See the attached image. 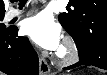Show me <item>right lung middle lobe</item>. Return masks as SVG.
I'll list each match as a JSON object with an SVG mask.
<instances>
[{"label":"right lung middle lobe","instance_id":"obj_1","mask_svg":"<svg viewBox=\"0 0 107 75\" xmlns=\"http://www.w3.org/2000/svg\"><path fill=\"white\" fill-rule=\"evenodd\" d=\"M4 18V14H0V21ZM10 28H6L5 24L0 23V34L6 33Z\"/></svg>","mask_w":107,"mask_h":75}]
</instances>
